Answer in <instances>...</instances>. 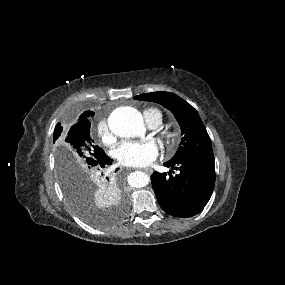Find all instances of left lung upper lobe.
<instances>
[{"label":"left lung upper lobe","mask_w":285,"mask_h":285,"mask_svg":"<svg viewBox=\"0 0 285 285\" xmlns=\"http://www.w3.org/2000/svg\"><path fill=\"white\" fill-rule=\"evenodd\" d=\"M134 99L159 103L174 114L183 138L170 162L199 156H214L210 137L198 112L185 100L170 92L141 94Z\"/></svg>","instance_id":"obj_1"}]
</instances>
